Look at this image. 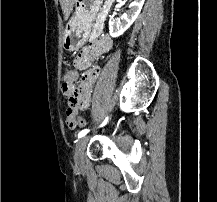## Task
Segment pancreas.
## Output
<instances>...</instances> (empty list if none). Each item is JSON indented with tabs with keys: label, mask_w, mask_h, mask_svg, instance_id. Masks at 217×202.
<instances>
[{
	"label": "pancreas",
	"mask_w": 217,
	"mask_h": 202,
	"mask_svg": "<svg viewBox=\"0 0 217 202\" xmlns=\"http://www.w3.org/2000/svg\"><path fill=\"white\" fill-rule=\"evenodd\" d=\"M100 34H101L100 30H93L89 36V41H95V38H98Z\"/></svg>",
	"instance_id": "cf45deb5"
}]
</instances>
